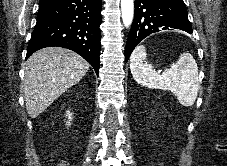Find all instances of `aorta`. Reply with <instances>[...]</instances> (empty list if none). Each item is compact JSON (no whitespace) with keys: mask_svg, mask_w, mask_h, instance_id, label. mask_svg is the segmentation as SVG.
<instances>
[{"mask_svg":"<svg viewBox=\"0 0 227 166\" xmlns=\"http://www.w3.org/2000/svg\"><path fill=\"white\" fill-rule=\"evenodd\" d=\"M121 12L123 24L129 27L134 17V1L133 0H121Z\"/></svg>","mask_w":227,"mask_h":166,"instance_id":"762f6f07","label":"aorta"}]
</instances>
